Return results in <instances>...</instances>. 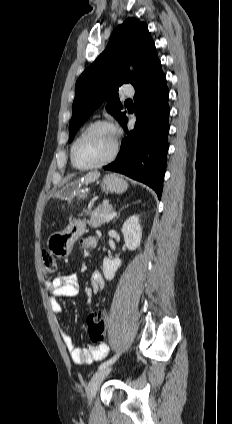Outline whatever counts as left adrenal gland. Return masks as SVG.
<instances>
[{"mask_svg": "<svg viewBox=\"0 0 232 424\" xmlns=\"http://www.w3.org/2000/svg\"><path fill=\"white\" fill-rule=\"evenodd\" d=\"M136 203H139V201H137V202H135L134 204H136ZM129 205L127 204L125 207H122L121 209H120V211L118 212V215L116 216V219L114 220V222L120 217V213H121V211L124 209V208H127Z\"/></svg>", "mask_w": 232, "mask_h": 424, "instance_id": "a2214340", "label": "left adrenal gland"}]
</instances>
